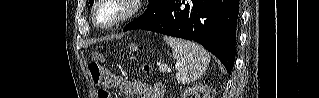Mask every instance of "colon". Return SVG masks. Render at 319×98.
<instances>
[{
    "instance_id": "obj_1",
    "label": "colon",
    "mask_w": 319,
    "mask_h": 98,
    "mask_svg": "<svg viewBox=\"0 0 319 98\" xmlns=\"http://www.w3.org/2000/svg\"><path fill=\"white\" fill-rule=\"evenodd\" d=\"M94 57H95V60L89 64V72L93 82L97 86L101 87L98 91V97L110 98L111 96L109 92L105 88H103L104 84L107 82V75L101 64L103 57L99 53H94ZM143 70L144 72L149 73L151 71V68L148 65H144Z\"/></svg>"
}]
</instances>
